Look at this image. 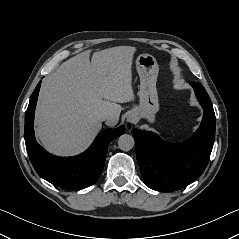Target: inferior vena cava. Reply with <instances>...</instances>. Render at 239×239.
I'll use <instances>...</instances> for the list:
<instances>
[{
	"label": "inferior vena cava",
	"mask_w": 239,
	"mask_h": 239,
	"mask_svg": "<svg viewBox=\"0 0 239 239\" xmlns=\"http://www.w3.org/2000/svg\"><path fill=\"white\" fill-rule=\"evenodd\" d=\"M98 119L100 121H109L111 119V115L108 113H102V114L98 115Z\"/></svg>",
	"instance_id": "1"
}]
</instances>
